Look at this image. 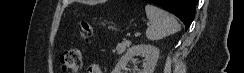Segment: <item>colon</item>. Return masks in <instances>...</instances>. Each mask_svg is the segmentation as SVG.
Instances as JSON below:
<instances>
[{
    "instance_id": "5ec220e1",
    "label": "colon",
    "mask_w": 244,
    "mask_h": 73,
    "mask_svg": "<svg viewBox=\"0 0 244 73\" xmlns=\"http://www.w3.org/2000/svg\"><path fill=\"white\" fill-rule=\"evenodd\" d=\"M80 34L87 39L93 34V25L83 21L80 27ZM83 51L80 47L66 49L60 57L62 68L68 73H79L82 69Z\"/></svg>"
}]
</instances>
